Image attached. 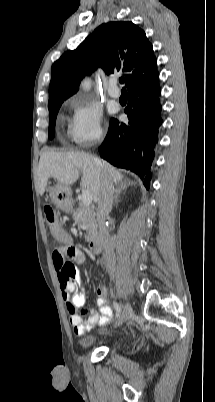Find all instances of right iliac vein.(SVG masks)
<instances>
[{
    "label": "right iliac vein",
    "mask_w": 215,
    "mask_h": 402,
    "mask_svg": "<svg viewBox=\"0 0 215 402\" xmlns=\"http://www.w3.org/2000/svg\"><path fill=\"white\" fill-rule=\"evenodd\" d=\"M132 314V307L129 303H126L124 305L123 311H122V315L119 318V321L117 322L116 325H121L123 322H125L126 320L129 319V317Z\"/></svg>",
    "instance_id": "63e3f726"
}]
</instances>
